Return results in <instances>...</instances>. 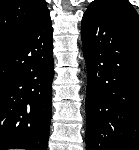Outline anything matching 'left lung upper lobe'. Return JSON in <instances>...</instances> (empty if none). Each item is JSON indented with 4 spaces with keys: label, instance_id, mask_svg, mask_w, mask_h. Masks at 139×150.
I'll return each instance as SVG.
<instances>
[{
    "label": "left lung upper lobe",
    "instance_id": "obj_1",
    "mask_svg": "<svg viewBox=\"0 0 139 150\" xmlns=\"http://www.w3.org/2000/svg\"><path fill=\"white\" fill-rule=\"evenodd\" d=\"M97 1H102V0H95V1H93V2H97ZM93 2H92V3H93Z\"/></svg>",
    "mask_w": 139,
    "mask_h": 150
}]
</instances>
